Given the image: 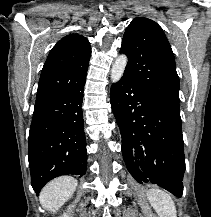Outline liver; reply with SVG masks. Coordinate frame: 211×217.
<instances>
[{"instance_id": "6515ba94", "label": "liver", "mask_w": 211, "mask_h": 217, "mask_svg": "<svg viewBox=\"0 0 211 217\" xmlns=\"http://www.w3.org/2000/svg\"><path fill=\"white\" fill-rule=\"evenodd\" d=\"M77 184V180L70 176H62L50 181L40 192V204L51 213L57 212L71 198Z\"/></svg>"}]
</instances>
